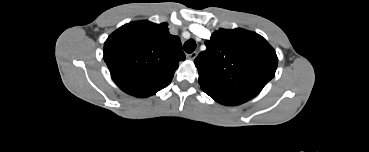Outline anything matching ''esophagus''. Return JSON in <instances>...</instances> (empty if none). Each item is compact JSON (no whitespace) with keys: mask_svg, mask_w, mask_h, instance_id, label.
<instances>
[{"mask_svg":"<svg viewBox=\"0 0 369 152\" xmlns=\"http://www.w3.org/2000/svg\"><path fill=\"white\" fill-rule=\"evenodd\" d=\"M198 55V52L194 51L190 54L187 55V58L190 59V60H194Z\"/></svg>","mask_w":369,"mask_h":152,"instance_id":"1","label":"esophagus"}]
</instances>
